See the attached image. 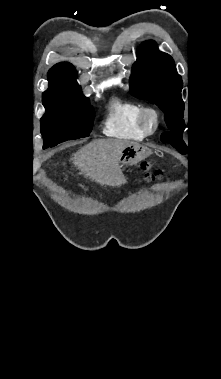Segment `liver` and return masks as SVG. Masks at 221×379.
<instances>
[{"label":"liver","instance_id":"obj_1","mask_svg":"<svg viewBox=\"0 0 221 379\" xmlns=\"http://www.w3.org/2000/svg\"><path fill=\"white\" fill-rule=\"evenodd\" d=\"M135 143L118 139L94 140L79 149L71 160L86 178L101 185L119 186L124 182L119 167L122 151Z\"/></svg>","mask_w":221,"mask_h":379}]
</instances>
